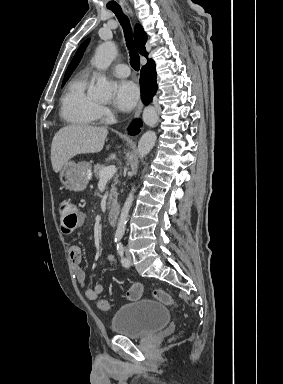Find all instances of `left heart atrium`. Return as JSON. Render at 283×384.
<instances>
[{"label":"left heart atrium","instance_id":"39dd6f15","mask_svg":"<svg viewBox=\"0 0 283 384\" xmlns=\"http://www.w3.org/2000/svg\"><path fill=\"white\" fill-rule=\"evenodd\" d=\"M139 98L138 87L131 81L121 80L115 84L114 104L122 111H130Z\"/></svg>","mask_w":283,"mask_h":384}]
</instances>
